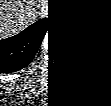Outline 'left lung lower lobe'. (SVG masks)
<instances>
[{"instance_id":"obj_1","label":"left lung lower lobe","mask_w":111,"mask_h":106,"mask_svg":"<svg viewBox=\"0 0 111 106\" xmlns=\"http://www.w3.org/2000/svg\"><path fill=\"white\" fill-rule=\"evenodd\" d=\"M97 11L92 2L71 3L64 17L80 56L97 68L111 70V0L100 1Z\"/></svg>"}]
</instances>
